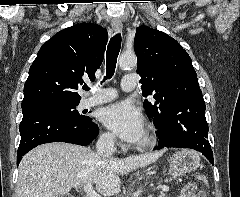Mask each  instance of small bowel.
Wrapping results in <instances>:
<instances>
[{
    "label": "small bowel",
    "mask_w": 240,
    "mask_h": 197,
    "mask_svg": "<svg viewBox=\"0 0 240 197\" xmlns=\"http://www.w3.org/2000/svg\"><path fill=\"white\" fill-rule=\"evenodd\" d=\"M179 197H207L205 192L197 191L194 183H188L184 186Z\"/></svg>",
    "instance_id": "1"
}]
</instances>
